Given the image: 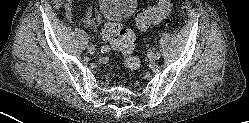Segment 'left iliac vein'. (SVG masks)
Wrapping results in <instances>:
<instances>
[{
    "instance_id": "obj_1",
    "label": "left iliac vein",
    "mask_w": 249,
    "mask_h": 123,
    "mask_svg": "<svg viewBox=\"0 0 249 123\" xmlns=\"http://www.w3.org/2000/svg\"><path fill=\"white\" fill-rule=\"evenodd\" d=\"M155 51L154 50H149L148 51V54H147V56H148V59L150 60V61H153V60H155L156 58H155Z\"/></svg>"
}]
</instances>
